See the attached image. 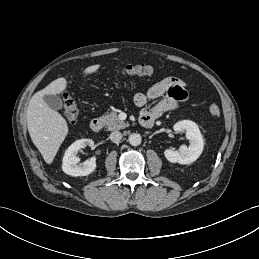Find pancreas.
Listing matches in <instances>:
<instances>
[{"mask_svg": "<svg viewBox=\"0 0 259 259\" xmlns=\"http://www.w3.org/2000/svg\"><path fill=\"white\" fill-rule=\"evenodd\" d=\"M100 119L105 123L109 131L120 130L129 126L128 123L120 120L117 112L114 111L103 115Z\"/></svg>", "mask_w": 259, "mask_h": 259, "instance_id": "pancreas-1", "label": "pancreas"}]
</instances>
